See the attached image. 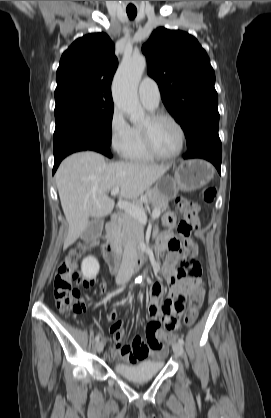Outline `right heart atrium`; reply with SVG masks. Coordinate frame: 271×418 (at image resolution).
I'll return each mask as SVG.
<instances>
[{
    "instance_id": "right-heart-atrium-1",
    "label": "right heart atrium",
    "mask_w": 271,
    "mask_h": 418,
    "mask_svg": "<svg viewBox=\"0 0 271 418\" xmlns=\"http://www.w3.org/2000/svg\"><path fill=\"white\" fill-rule=\"evenodd\" d=\"M131 137V126L128 124L123 112L114 107L109 119V139L113 150L123 155Z\"/></svg>"
}]
</instances>
